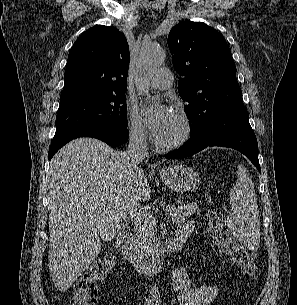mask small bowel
I'll list each match as a JSON object with an SVG mask.
<instances>
[{"instance_id": "small-bowel-1", "label": "small bowel", "mask_w": 297, "mask_h": 305, "mask_svg": "<svg viewBox=\"0 0 297 305\" xmlns=\"http://www.w3.org/2000/svg\"><path fill=\"white\" fill-rule=\"evenodd\" d=\"M192 222H186L179 229L192 231ZM171 284L178 294L180 305H211L218 297L217 284H194L185 267L176 268L171 274Z\"/></svg>"}]
</instances>
